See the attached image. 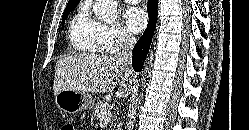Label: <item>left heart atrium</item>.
<instances>
[{
    "label": "left heart atrium",
    "mask_w": 249,
    "mask_h": 130,
    "mask_svg": "<svg viewBox=\"0 0 249 130\" xmlns=\"http://www.w3.org/2000/svg\"><path fill=\"white\" fill-rule=\"evenodd\" d=\"M124 19L128 28L134 32H141L147 25L148 17L144 9L130 7L124 12Z\"/></svg>",
    "instance_id": "1"
}]
</instances>
